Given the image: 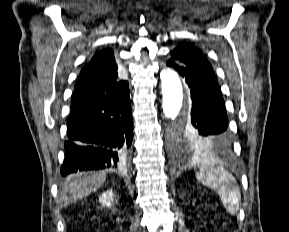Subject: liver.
I'll return each instance as SVG.
<instances>
[{"mask_svg": "<svg viewBox=\"0 0 289 232\" xmlns=\"http://www.w3.org/2000/svg\"><path fill=\"white\" fill-rule=\"evenodd\" d=\"M106 174L102 171L80 175L72 180L61 192L60 201L69 204L99 189L105 182Z\"/></svg>", "mask_w": 289, "mask_h": 232, "instance_id": "obj_1", "label": "liver"}]
</instances>
